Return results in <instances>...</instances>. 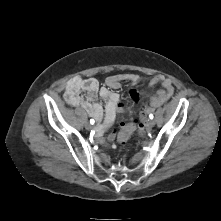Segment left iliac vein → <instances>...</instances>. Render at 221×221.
Listing matches in <instances>:
<instances>
[{
	"mask_svg": "<svg viewBox=\"0 0 221 221\" xmlns=\"http://www.w3.org/2000/svg\"><path fill=\"white\" fill-rule=\"evenodd\" d=\"M154 125H155V121H154V120H149V121L147 122V127H148V128H152Z\"/></svg>",
	"mask_w": 221,
	"mask_h": 221,
	"instance_id": "4c4485c4",
	"label": "left iliac vein"
}]
</instances>
